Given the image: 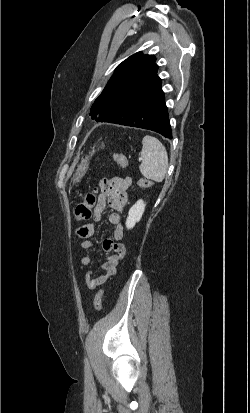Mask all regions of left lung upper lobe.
<instances>
[{"label":"left lung upper lobe","mask_w":250,"mask_h":413,"mask_svg":"<svg viewBox=\"0 0 250 413\" xmlns=\"http://www.w3.org/2000/svg\"><path fill=\"white\" fill-rule=\"evenodd\" d=\"M154 55L138 52L123 61L115 70L101 95L91 107L90 115L100 121L109 114L113 115L121 103L129 98L138 84L158 81V65Z\"/></svg>","instance_id":"left-lung-upper-lobe-1"}]
</instances>
